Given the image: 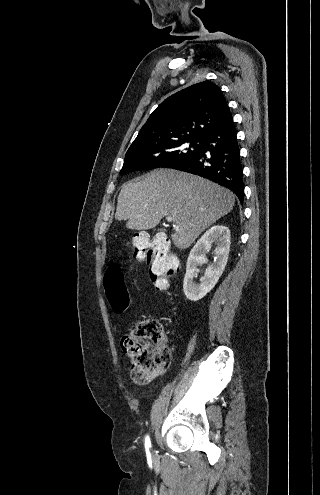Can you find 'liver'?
<instances>
[{
    "label": "liver",
    "instance_id": "obj_1",
    "mask_svg": "<svg viewBox=\"0 0 320 495\" xmlns=\"http://www.w3.org/2000/svg\"><path fill=\"white\" fill-rule=\"evenodd\" d=\"M235 195L206 179L172 169L151 172L141 181L125 183L118 196L115 219L126 228L148 230L171 216L179 249L188 248L210 225L227 215Z\"/></svg>",
    "mask_w": 320,
    "mask_h": 495
}]
</instances>
